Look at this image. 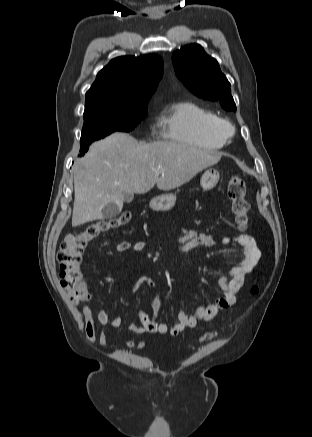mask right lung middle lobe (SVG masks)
I'll list each match as a JSON object with an SVG mask.
<instances>
[{"label": "right lung middle lobe", "instance_id": "right-lung-middle-lobe-1", "mask_svg": "<svg viewBox=\"0 0 312 437\" xmlns=\"http://www.w3.org/2000/svg\"><path fill=\"white\" fill-rule=\"evenodd\" d=\"M147 114V107L122 111L114 109H93L84 111V126L80 139V156L87 152L91 142L102 139L107 135L121 131L130 132Z\"/></svg>", "mask_w": 312, "mask_h": 437}]
</instances>
